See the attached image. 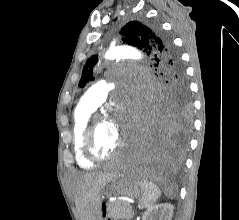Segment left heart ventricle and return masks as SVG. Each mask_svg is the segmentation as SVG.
I'll return each mask as SVG.
<instances>
[{
	"instance_id": "obj_1",
	"label": "left heart ventricle",
	"mask_w": 239,
	"mask_h": 220,
	"mask_svg": "<svg viewBox=\"0 0 239 220\" xmlns=\"http://www.w3.org/2000/svg\"><path fill=\"white\" fill-rule=\"evenodd\" d=\"M119 139L118 129L113 122H100L94 131V148L99 155H107L116 148Z\"/></svg>"
}]
</instances>
